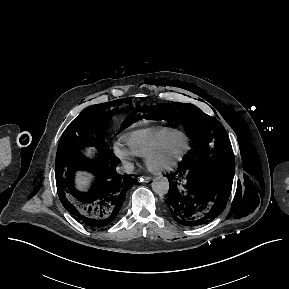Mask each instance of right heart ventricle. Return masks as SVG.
Listing matches in <instances>:
<instances>
[{"mask_svg": "<svg viewBox=\"0 0 289 289\" xmlns=\"http://www.w3.org/2000/svg\"><path fill=\"white\" fill-rule=\"evenodd\" d=\"M177 132L179 131L171 127H147L125 135L122 142L134 155L145 157L148 152Z\"/></svg>", "mask_w": 289, "mask_h": 289, "instance_id": "e07e8e85", "label": "right heart ventricle"}]
</instances>
